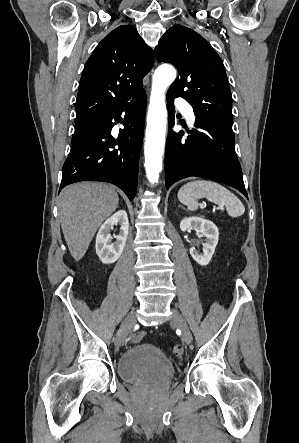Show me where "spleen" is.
I'll return each instance as SVG.
<instances>
[{"instance_id":"3e777b00","label":"spleen","mask_w":299,"mask_h":443,"mask_svg":"<svg viewBox=\"0 0 299 443\" xmlns=\"http://www.w3.org/2000/svg\"><path fill=\"white\" fill-rule=\"evenodd\" d=\"M200 198H206L215 204L224 205L231 217H239L245 212V207L237 196L216 182L207 180L192 181L183 185L178 191L179 201L186 205L190 211L197 210L198 199Z\"/></svg>"}]
</instances>
